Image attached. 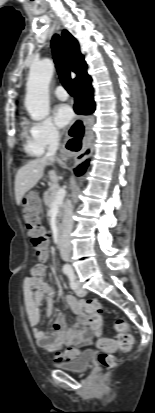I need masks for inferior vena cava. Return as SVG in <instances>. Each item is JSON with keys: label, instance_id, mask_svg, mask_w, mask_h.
Returning a JSON list of instances; mask_svg holds the SVG:
<instances>
[{"label": "inferior vena cava", "instance_id": "1", "mask_svg": "<svg viewBox=\"0 0 155 413\" xmlns=\"http://www.w3.org/2000/svg\"><path fill=\"white\" fill-rule=\"evenodd\" d=\"M59 146V134L58 132H52L49 137V146L46 154V158L50 162H54V156ZM73 205L68 203L65 209L64 218L61 225V248L60 253L64 261L70 260L71 245H70V233L73 227Z\"/></svg>", "mask_w": 155, "mask_h": 413}]
</instances>
